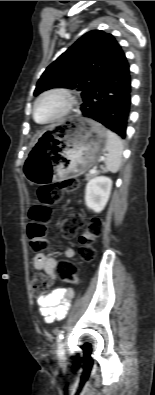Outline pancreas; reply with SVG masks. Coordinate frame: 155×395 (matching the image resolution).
Masks as SVG:
<instances>
[{
  "instance_id": "pancreas-1",
  "label": "pancreas",
  "mask_w": 155,
  "mask_h": 395,
  "mask_svg": "<svg viewBox=\"0 0 155 395\" xmlns=\"http://www.w3.org/2000/svg\"><path fill=\"white\" fill-rule=\"evenodd\" d=\"M94 176H95V174H91V173L86 174V178H87V179H90V178H92V177H94Z\"/></svg>"
}]
</instances>
